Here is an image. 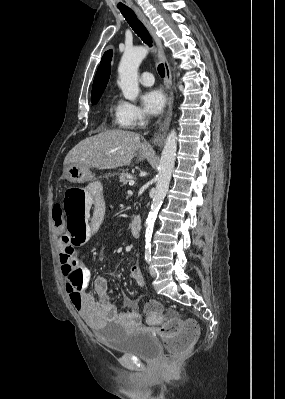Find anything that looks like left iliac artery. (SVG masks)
I'll return each instance as SVG.
<instances>
[{
    "instance_id": "1",
    "label": "left iliac artery",
    "mask_w": 285,
    "mask_h": 399,
    "mask_svg": "<svg viewBox=\"0 0 285 399\" xmlns=\"http://www.w3.org/2000/svg\"><path fill=\"white\" fill-rule=\"evenodd\" d=\"M145 260L147 263H150V261H151V248L150 247H146V249H145Z\"/></svg>"
}]
</instances>
